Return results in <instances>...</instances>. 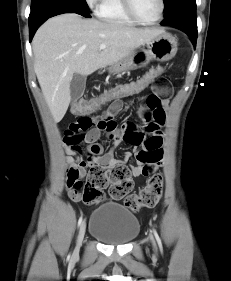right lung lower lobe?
I'll return each instance as SVG.
<instances>
[{"label":"right lung lower lobe","instance_id":"1","mask_svg":"<svg viewBox=\"0 0 231 281\" xmlns=\"http://www.w3.org/2000/svg\"><path fill=\"white\" fill-rule=\"evenodd\" d=\"M67 12L77 13L88 18L91 17L86 6L77 0H37L31 4L29 16L30 41L44 21Z\"/></svg>","mask_w":231,"mask_h":281}]
</instances>
